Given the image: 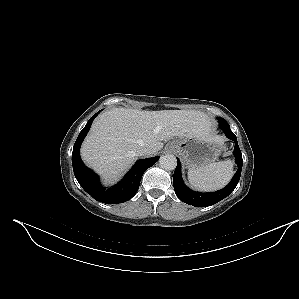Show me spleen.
I'll use <instances>...</instances> for the list:
<instances>
[{"mask_svg":"<svg viewBox=\"0 0 299 299\" xmlns=\"http://www.w3.org/2000/svg\"><path fill=\"white\" fill-rule=\"evenodd\" d=\"M233 176L231 160L213 162L208 165L190 168L188 181L190 185L200 191H214L224 187Z\"/></svg>","mask_w":299,"mask_h":299,"instance_id":"1","label":"spleen"}]
</instances>
